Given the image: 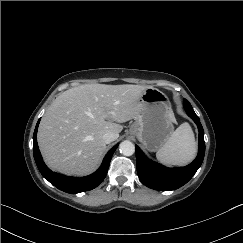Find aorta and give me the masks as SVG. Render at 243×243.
I'll return each mask as SVG.
<instances>
[{
  "label": "aorta",
  "mask_w": 243,
  "mask_h": 243,
  "mask_svg": "<svg viewBox=\"0 0 243 243\" xmlns=\"http://www.w3.org/2000/svg\"><path fill=\"white\" fill-rule=\"evenodd\" d=\"M119 151L125 156H131L135 152V145L131 141L125 140L120 143Z\"/></svg>",
  "instance_id": "obj_1"
}]
</instances>
